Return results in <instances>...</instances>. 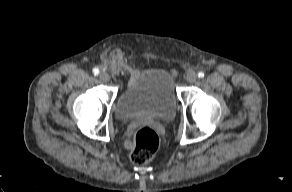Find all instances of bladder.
I'll use <instances>...</instances> for the list:
<instances>
[{"instance_id":"31cf9c89","label":"bladder","mask_w":292,"mask_h":192,"mask_svg":"<svg viewBox=\"0 0 292 192\" xmlns=\"http://www.w3.org/2000/svg\"><path fill=\"white\" fill-rule=\"evenodd\" d=\"M176 110V95L170 74L146 69L129 78L119 94L115 113L119 120L159 119L168 121Z\"/></svg>"}]
</instances>
